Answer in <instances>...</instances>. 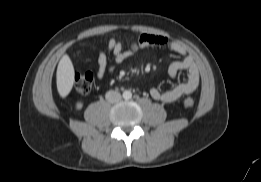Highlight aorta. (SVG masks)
<instances>
[{
  "mask_svg": "<svg viewBox=\"0 0 261 182\" xmlns=\"http://www.w3.org/2000/svg\"><path fill=\"white\" fill-rule=\"evenodd\" d=\"M123 98H124V99H131V98H132V93H131V91H128V90L124 91V92H123Z\"/></svg>",
  "mask_w": 261,
  "mask_h": 182,
  "instance_id": "obj_1",
  "label": "aorta"
}]
</instances>
